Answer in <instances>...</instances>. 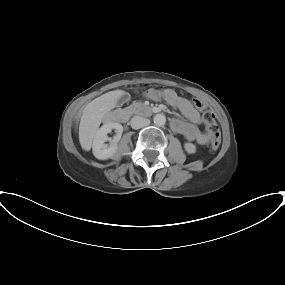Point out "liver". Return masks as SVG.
I'll return each instance as SVG.
<instances>
[{
	"mask_svg": "<svg viewBox=\"0 0 285 285\" xmlns=\"http://www.w3.org/2000/svg\"><path fill=\"white\" fill-rule=\"evenodd\" d=\"M118 97L119 91H110L91 101L83 110L79 125V142L83 150L91 149L102 120L114 108Z\"/></svg>",
	"mask_w": 285,
	"mask_h": 285,
	"instance_id": "1",
	"label": "liver"
}]
</instances>
